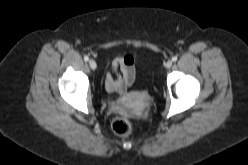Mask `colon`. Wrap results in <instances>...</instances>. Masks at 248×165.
Returning a JSON list of instances; mask_svg holds the SVG:
<instances>
[{"mask_svg": "<svg viewBox=\"0 0 248 165\" xmlns=\"http://www.w3.org/2000/svg\"><path fill=\"white\" fill-rule=\"evenodd\" d=\"M112 130L119 136L127 137L132 132V125L128 118L118 116L112 121Z\"/></svg>", "mask_w": 248, "mask_h": 165, "instance_id": "obj_1", "label": "colon"}]
</instances>
